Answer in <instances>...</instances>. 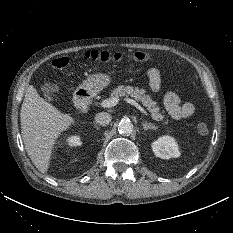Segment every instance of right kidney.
Here are the masks:
<instances>
[{
    "label": "right kidney",
    "instance_id": "obj_1",
    "mask_svg": "<svg viewBox=\"0 0 233 233\" xmlns=\"http://www.w3.org/2000/svg\"><path fill=\"white\" fill-rule=\"evenodd\" d=\"M67 143L70 147H77L82 144L81 138L79 136H70L67 139Z\"/></svg>",
    "mask_w": 233,
    "mask_h": 233
}]
</instances>
